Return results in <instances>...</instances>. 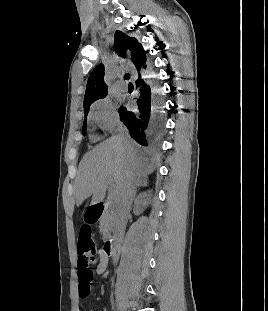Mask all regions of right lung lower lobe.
I'll return each mask as SVG.
<instances>
[{
	"label": "right lung lower lobe",
	"instance_id": "obj_1",
	"mask_svg": "<svg viewBox=\"0 0 268 311\" xmlns=\"http://www.w3.org/2000/svg\"><path fill=\"white\" fill-rule=\"evenodd\" d=\"M138 76L136 85L140 88V93L136 102L137 110L130 111L121 106L119 115L131 137L140 145L148 146L155 143L164 130V119L160 111L162 100L141 78L140 73Z\"/></svg>",
	"mask_w": 268,
	"mask_h": 311
}]
</instances>
